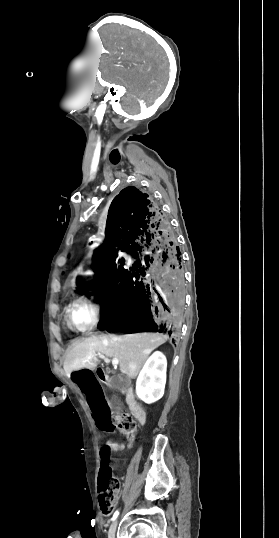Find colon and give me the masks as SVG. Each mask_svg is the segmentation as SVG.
<instances>
[{
    "instance_id": "1",
    "label": "colon",
    "mask_w": 279,
    "mask_h": 538,
    "mask_svg": "<svg viewBox=\"0 0 279 538\" xmlns=\"http://www.w3.org/2000/svg\"><path fill=\"white\" fill-rule=\"evenodd\" d=\"M111 429L118 431L129 440H133L137 426L133 418L128 414L116 416L111 422ZM113 450L105 443L100 447L101 468L99 472V502L103 515L108 516L114 509L117 499L119 481L112 475L110 470V459Z\"/></svg>"
}]
</instances>
